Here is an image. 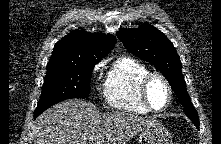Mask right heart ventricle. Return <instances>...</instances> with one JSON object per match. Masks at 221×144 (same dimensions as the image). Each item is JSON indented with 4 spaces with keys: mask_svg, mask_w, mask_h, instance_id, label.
<instances>
[{
    "mask_svg": "<svg viewBox=\"0 0 221 144\" xmlns=\"http://www.w3.org/2000/svg\"><path fill=\"white\" fill-rule=\"evenodd\" d=\"M148 72V68L134 58L122 56L116 59L103 85V95L107 104L124 112L148 113L139 96V82Z\"/></svg>",
    "mask_w": 221,
    "mask_h": 144,
    "instance_id": "1",
    "label": "right heart ventricle"
}]
</instances>
